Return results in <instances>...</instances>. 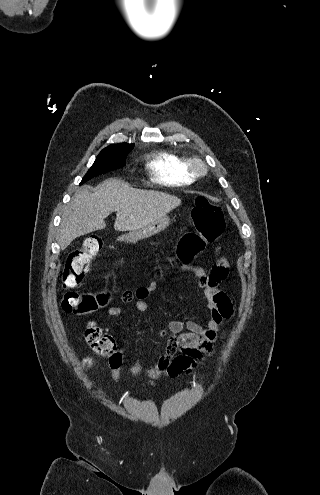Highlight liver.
<instances>
[{
  "mask_svg": "<svg viewBox=\"0 0 320 495\" xmlns=\"http://www.w3.org/2000/svg\"><path fill=\"white\" fill-rule=\"evenodd\" d=\"M180 204L181 199L174 195L134 189L115 178L105 180L93 191L84 186L62 215L60 247L64 250L77 237L104 229L105 218L114 211V229L131 231L156 221Z\"/></svg>",
  "mask_w": 320,
  "mask_h": 495,
  "instance_id": "obj_1",
  "label": "liver"
}]
</instances>
